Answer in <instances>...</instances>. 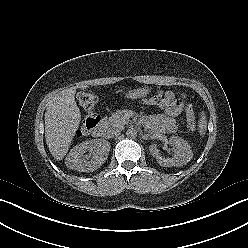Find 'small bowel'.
<instances>
[{"label": "small bowel", "instance_id": "c3829d8e", "mask_svg": "<svg viewBox=\"0 0 248 248\" xmlns=\"http://www.w3.org/2000/svg\"><path fill=\"white\" fill-rule=\"evenodd\" d=\"M158 94H165L167 96L166 101L160 105L163 114L160 118L150 119L149 124L158 131L166 133L172 132L174 129L173 118L181 113L183 103L180 100L174 99L170 92H159ZM146 102L153 104L151 99Z\"/></svg>", "mask_w": 248, "mask_h": 248}]
</instances>
